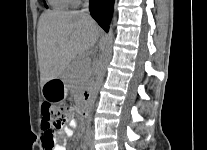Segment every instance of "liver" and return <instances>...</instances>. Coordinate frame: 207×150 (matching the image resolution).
<instances>
[{
	"instance_id": "liver-1",
	"label": "liver",
	"mask_w": 207,
	"mask_h": 150,
	"mask_svg": "<svg viewBox=\"0 0 207 150\" xmlns=\"http://www.w3.org/2000/svg\"><path fill=\"white\" fill-rule=\"evenodd\" d=\"M96 22L81 11H46L39 19L37 51L40 83L59 78L76 56H84L98 40Z\"/></svg>"
}]
</instances>
